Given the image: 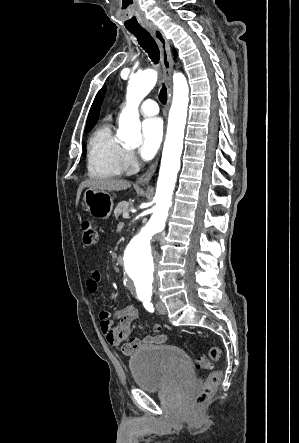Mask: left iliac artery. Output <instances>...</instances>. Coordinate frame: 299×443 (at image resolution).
<instances>
[{"mask_svg":"<svg viewBox=\"0 0 299 443\" xmlns=\"http://www.w3.org/2000/svg\"><path fill=\"white\" fill-rule=\"evenodd\" d=\"M142 302H143V305L147 311L154 312V306L151 303V299H144V300H142Z\"/></svg>","mask_w":299,"mask_h":443,"instance_id":"left-iliac-artery-1","label":"left iliac artery"}]
</instances>
